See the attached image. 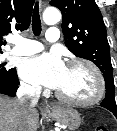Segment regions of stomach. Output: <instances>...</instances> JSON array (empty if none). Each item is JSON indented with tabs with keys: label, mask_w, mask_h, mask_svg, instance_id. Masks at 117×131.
<instances>
[{
	"label": "stomach",
	"mask_w": 117,
	"mask_h": 131,
	"mask_svg": "<svg viewBox=\"0 0 117 131\" xmlns=\"http://www.w3.org/2000/svg\"><path fill=\"white\" fill-rule=\"evenodd\" d=\"M48 115L70 131H75L81 124L80 114L69 106H57L49 111Z\"/></svg>",
	"instance_id": "0dacf381"
}]
</instances>
